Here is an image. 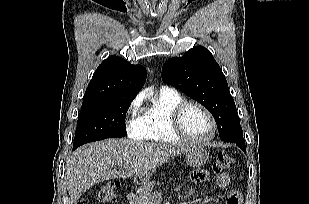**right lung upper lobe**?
<instances>
[{
  "label": "right lung upper lobe",
  "instance_id": "cb5924a9",
  "mask_svg": "<svg viewBox=\"0 0 309 204\" xmlns=\"http://www.w3.org/2000/svg\"><path fill=\"white\" fill-rule=\"evenodd\" d=\"M146 80V69L118 56L104 60L86 89L83 104L111 98H135Z\"/></svg>",
  "mask_w": 309,
  "mask_h": 204
}]
</instances>
